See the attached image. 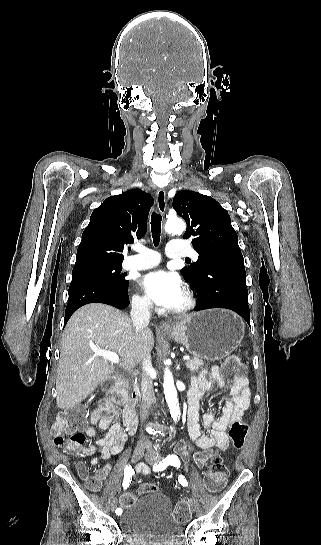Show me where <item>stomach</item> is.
I'll return each instance as SVG.
<instances>
[{
    "mask_svg": "<svg viewBox=\"0 0 321 545\" xmlns=\"http://www.w3.org/2000/svg\"><path fill=\"white\" fill-rule=\"evenodd\" d=\"M197 359L218 361L228 357L244 339L241 317L226 309H209L188 315L166 331Z\"/></svg>",
    "mask_w": 321,
    "mask_h": 545,
    "instance_id": "1",
    "label": "stomach"
}]
</instances>
